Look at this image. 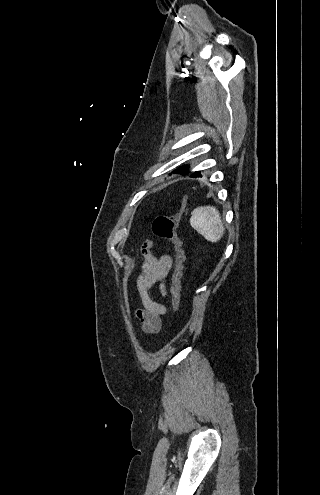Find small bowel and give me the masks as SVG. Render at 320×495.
I'll return each instance as SVG.
<instances>
[{"label": "small bowel", "mask_w": 320, "mask_h": 495, "mask_svg": "<svg viewBox=\"0 0 320 495\" xmlns=\"http://www.w3.org/2000/svg\"><path fill=\"white\" fill-rule=\"evenodd\" d=\"M153 242L146 241L141 247L142 266L137 278V289L143 309L136 312L141 324V330L146 334L158 333L161 329L162 317L167 312L163 303L157 302L152 294V288L158 284L162 297L168 295L166 279L171 271L173 260L169 254L156 257L153 252Z\"/></svg>", "instance_id": "obj_1"}]
</instances>
